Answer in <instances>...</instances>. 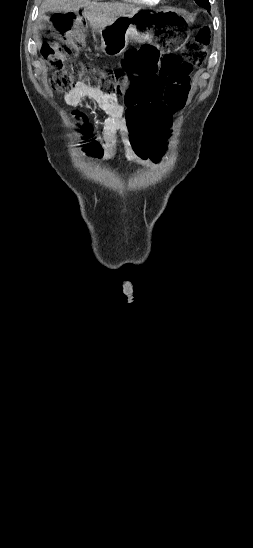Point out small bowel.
<instances>
[{"label":"small bowel","mask_w":253,"mask_h":548,"mask_svg":"<svg viewBox=\"0 0 253 548\" xmlns=\"http://www.w3.org/2000/svg\"><path fill=\"white\" fill-rule=\"evenodd\" d=\"M152 60L165 59L157 56ZM85 99L90 100L96 108L107 115L102 125L101 140L100 142L97 141L100 148L97 157L103 161H109L114 157L116 154L117 134L120 133L124 144V156L128 161L144 166L155 164L156 160L154 159H138L135 156L136 150L133 148V142L129 139L131 133L129 126L126 124L127 105L125 107L120 104L115 93L106 94L98 89L89 87L85 83L79 82L65 95V101L68 105H77ZM164 129L167 130L168 128Z\"/></svg>","instance_id":"obj_1"}]
</instances>
